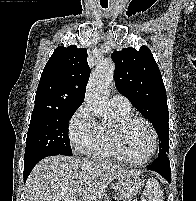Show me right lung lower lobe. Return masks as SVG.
<instances>
[{
    "instance_id": "obj_1",
    "label": "right lung lower lobe",
    "mask_w": 196,
    "mask_h": 201,
    "mask_svg": "<svg viewBox=\"0 0 196 201\" xmlns=\"http://www.w3.org/2000/svg\"><path fill=\"white\" fill-rule=\"evenodd\" d=\"M52 155H58V153L56 152H45L42 154H38V155H33L27 159H24V182L26 181L28 175L30 174L31 170L33 169V167L43 158L47 157V156H52Z\"/></svg>"
}]
</instances>
